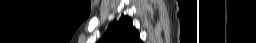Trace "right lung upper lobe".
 Here are the masks:
<instances>
[{"instance_id": "cb5924a9", "label": "right lung upper lobe", "mask_w": 256, "mask_h": 43, "mask_svg": "<svg viewBox=\"0 0 256 43\" xmlns=\"http://www.w3.org/2000/svg\"><path fill=\"white\" fill-rule=\"evenodd\" d=\"M101 43H142L139 32L133 27L131 18L122 15L111 23L100 40Z\"/></svg>"}]
</instances>
